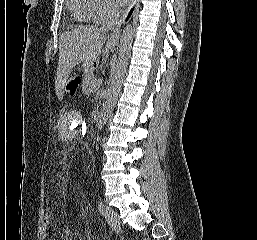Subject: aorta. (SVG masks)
I'll use <instances>...</instances> for the list:
<instances>
[{
    "mask_svg": "<svg viewBox=\"0 0 257 240\" xmlns=\"http://www.w3.org/2000/svg\"><path fill=\"white\" fill-rule=\"evenodd\" d=\"M134 30L131 24L126 25L121 38L118 52V59L112 68L106 100L103 103L102 111L97 123V129L101 131L111 116L116 101L121 93L124 76L127 70L128 61L131 55Z\"/></svg>",
    "mask_w": 257,
    "mask_h": 240,
    "instance_id": "obj_1",
    "label": "aorta"
}]
</instances>
